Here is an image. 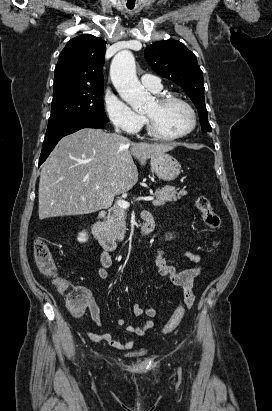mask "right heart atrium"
Returning <instances> with one entry per match:
<instances>
[{"mask_svg":"<svg viewBox=\"0 0 272 411\" xmlns=\"http://www.w3.org/2000/svg\"><path fill=\"white\" fill-rule=\"evenodd\" d=\"M104 105L111 123L128 133L137 132L143 125V117L113 92H106Z\"/></svg>","mask_w":272,"mask_h":411,"instance_id":"right-heart-atrium-1","label":"right heart atrium"}]
</instances>
